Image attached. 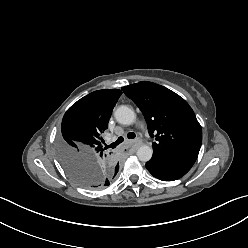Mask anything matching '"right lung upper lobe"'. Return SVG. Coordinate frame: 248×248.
<instances>
[{
	"mask_svg": "<svg viewBox=\"0 0 248 248\" xmlns=\"http://www.w3.org/2000/svg\"><path fill=\"white\" fill-rule=\"evenodd\" d=\"M119 89L94 91L74 103L62 120L63 155L83 157L108 174V186L119 170L101 135L108 128L112 110L121 96Z\"/></svg>",
	"mask_w": 248,
	"mask_h": 248,
	"instance_id": "cb5924a9",
	"label": "right lung upper lobe"
}]
</instances>
